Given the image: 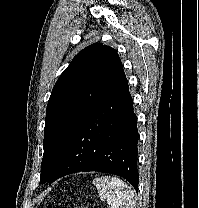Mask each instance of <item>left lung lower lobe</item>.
<instances>
[{
	"instance_id": "left-lung-lower-lobe-1",
	"label": "left lung lower lobe",
	"mask_w": 199,
	"mask_h": 208,
	"mask_svg": "<svg viewBox=\"0 0 199 208\" xmlns=\"http://www.w3.org/2000/svg\"><path fill=\"white\" fill-rule=\"evenodd\" d=\"M137 118L125 79L81 124L49 179L98 171L127 179L138 192Z\"/></svg>"
}]
</instances>
